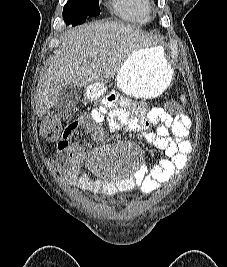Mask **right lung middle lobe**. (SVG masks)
<instances>
[{"label": "right lung middle lobe", "mask_w": 227, "mask_h": 267, "mask_svg": "<svg viewBox=\"0 0 227 267\" xmlns=\"http://www.w3.org/2000/svg\"><path fill=\"white\" fill-rule=\"evenodd\" d=\"M100 14L98 0H68L63 8V19L67 24L79 25L87 17Z\"/></svg>", "instance_id": "dd1d6c3e"}]
</instances>
